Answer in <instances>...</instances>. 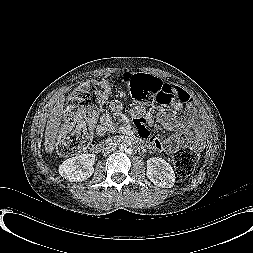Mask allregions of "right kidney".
<instances>
[{
  "label": "right kidney",
  "mask_w": 253,
  "mask_h": 253,
  "mask_svg": "<svg viewBox=\"0 0 253 253\" xmlns=\"http://www.w3.org/2000/svg\"><path fill=\"white\" fill-rule=\"evenodd\" d=\"M95 155L80 154L65 160L59 166V174L71 182H82L94 173Z\"/></svg>",
  "instance_id": "right-kidney-1"
}]
</instances>
